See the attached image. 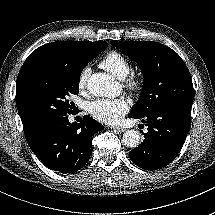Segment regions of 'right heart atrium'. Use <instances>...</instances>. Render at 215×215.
<instances>
[{
	"label": "right heart atrium",
	"instance_id": "obj_1",
	"mask_svg": "<svg viewBox=\"0 0 215 215\" xmlns=\"http://www.w3.org/2000/svg\"><path fill=\"white\" fill-rule=\"evenodd\" d=\"M90 73H91V69L88 66H86L80 70L78 77H77V91L79 93L86 92Z\"/></svg>",
	"mask_w": 215,
	"mask_h": 215
}]
</instances>
